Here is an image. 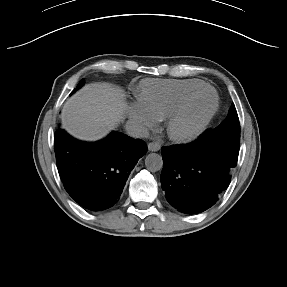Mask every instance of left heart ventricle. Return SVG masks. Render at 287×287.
I'll list each match as a JSON object with an SVG mask.
<instances>
[{
    "label": "left heart ventricle",
    "mask_w": 287,
    "mask_h": 287,
    "mask_svg": "<svg viewBox=\"0 0 287 287\" xmlns=\"http://www.w3.org/2000/svg\"><path fill=\"white\" fill-rule=\"evenodd\" d=\"M213 97L209 92L198 94L189 104L181 122L180 128L185 130L199 122L210 110Z\"/></svg>",
    "instance_id": "left-heart-ventricle-1"
}]
</instances>
